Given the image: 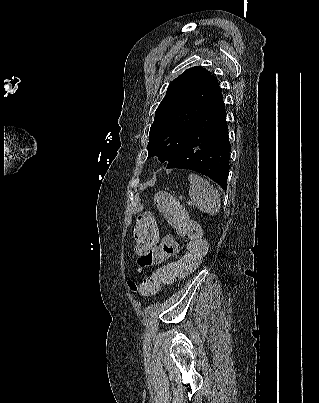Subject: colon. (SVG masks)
<instances>
[{
  "mask_svg": "<svg viewBox=\"0 0 319 403\" xmlns=\"http://www.w3.org/2000/svg\"><path fill=\"white\" fill-rule=\"evenodd\" d=\"M154 200L178 234L188 240L187 251L179 261L157 269L141 284L138 281H129L127 284L129 292L137 297L152 296L159 291L162 284L172 283L181 276L189 274L199 265L208 250L207 242L200 236L199 226L186 216L184 208L175 197L160 192L156 194ZM133 226L135 231L132 232L134 242H131V251L134 258H139L141 252L157 247V243H160L162 221L151 218L150 215H143L133 219Z\"/></svg>",
  "mask_w": 319,
  "mask_h": 403,
  "instance_id": "obj_1",
  "label": "colon"
}]
</instances>
